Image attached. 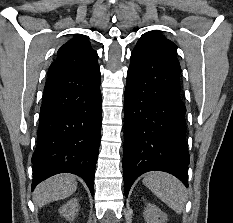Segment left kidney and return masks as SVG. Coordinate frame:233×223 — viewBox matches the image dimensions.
Here are the masks:
<instances>
[{"label":"left kidney","mask_w":233,"mask_h":223,"mask_svg":"<svg viewBox=\"0 0 233 223\" xmlns=\"http://www.w3.org/2000/svg\"><path fill=\"white\" fill-rule=\"evenodd\" d=\"M143 217L147 223H165L168 219L167 213L161 211L160 207H157L154 203H146Z\"/></svg>","instance_id":"obj_1"}]
</instances>
